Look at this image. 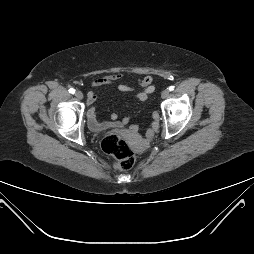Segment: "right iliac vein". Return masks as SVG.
Wrapping results in <instances>:
<instances>
[{
    "label": "right iliac vein",
    "instance_id": "1",
    "mask_svg": "<svg viewBox=\"0 0 254 254\" xmlns=\"http://www.w3.org/2000/svg\"><path fill=\"white\" fill-rule=\"evenodd\" d=\"M75 96L79 100L83 99V93L81 91H76Z\"/></svg>",
    "mask_w": 254,
    "mask_h": 254
}]
</instances>
